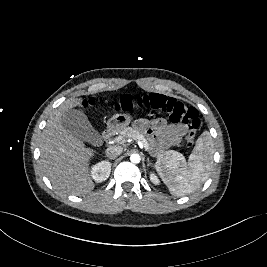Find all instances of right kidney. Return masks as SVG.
<instances>
[{
  "mask_svg": "<svg viewBox=\"0 0 267 267\" xmlns=\"http://www.w3.org/2000/svg\"><path fill=\"white\" fill-rule=\"evenodd\" d=\"M111 172V163L108 161H101L95 164L91 169V177L97 183L105 181Z\"/></svg>",
  "mask_w": 267,
  "mask_h": 267,
  "instance_id": "obj_1",
  "label": "right kidney"
}]
</instances>
